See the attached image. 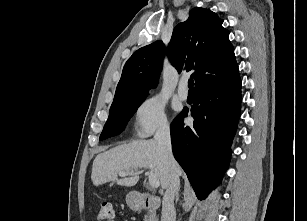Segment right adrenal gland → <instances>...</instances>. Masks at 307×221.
Returning a JSON list of instances; mask_svg holds the SVG:
<instances>
[{
    "instance_id": "1",
    "label": "right adrenal gland",
    "mask_w": 307,
    "mask_h": 221,
    "mask_svg": "<svg viewBox=\"0 0 307 221\" xmlns=\"http://www.w3.org/2000/svg\"><path fill=\"white\" fill-rule=\"evenodd\" d=\"M179 200V193L176 194V202Z\"/></svg>"
}]
</instances>
